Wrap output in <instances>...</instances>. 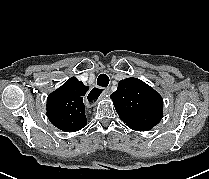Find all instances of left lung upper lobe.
Wrapping results in <instances>:
<instances>
[{"instance_id":"5c2ea615","label":"left lung upper lobe","mask_w":209,"mask_h":179,"mask_svg":"<svg viewBox=\"0 0 209 179\" xmlns=\"http://www.w3.org/2000/svg\"><path fill=\"white\" fill-rule=\"evenodd\" d=\"M110 97L120 119L135 131H148L162 119V97L138 78L121 80Z\"/></svg>"}]
</instances>
